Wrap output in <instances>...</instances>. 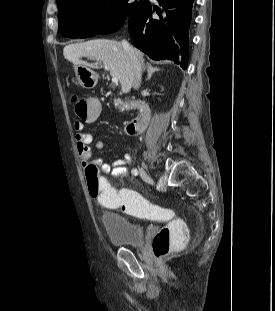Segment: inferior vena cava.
<instances>
[{
  "label": "inferior vena cava",
  "instance_id": "602c4592",
  "mask_svg": "<svg viewBox=\"0 0 275 311\" xmlns=\"http://www.w3.org/2000/svg\"><path fill=\"white\" fill-rule=\"evenodd\" d=\"M122 45L124 47V49L126 50V52L128 53L132 66L134 68V72H135V81H134V88H138L140 86V82H141V67H142V63H143V58L139 57L134 50L132 49V47L129 45V43L127 41H122Z\"/></svg>",
  "mask_w": 275,
  "mask_h": 311
}]
</instances>
